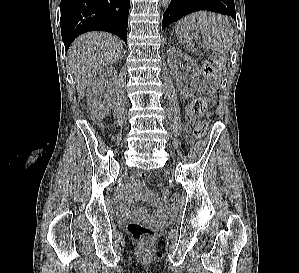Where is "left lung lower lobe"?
<instances>
[{
    "label": "left lung lower lobe",
    "mask_w": 299,
    "mask_h": 273,
    "mask_svg": "<svg viewBox=\"0 0 299 273\" xmlns=\"http://www.w3.org/2000/svg\"><path fill=\"white\" fill-rule=\"evenodd\" d=\"M199 10L213 11L236 19L234 0H171L163 16L162 29L183 16Z\"/></svg>",
    "instance_id": "1"
}]
</instances>
